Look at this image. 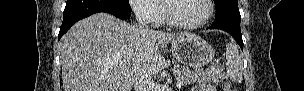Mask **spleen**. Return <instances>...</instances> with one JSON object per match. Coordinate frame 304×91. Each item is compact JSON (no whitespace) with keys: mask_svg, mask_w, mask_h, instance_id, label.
Instances as JSON below:
<instances>
[{"mask_svg":"<svg viewBox=\"0 0 304 91\" xmlns=\"http://www.w3.org/2000/svg\"><path fill=\"white\" fill-rule=\"evenodd\" d=\"M227 76L233 81L241 83L243 79V61L237 48L229 43L226 51Z\"/></svg>","mask_w":304,"mask_h":91,"instance_id":"obj_1","label":"spleen"}]
</instances>
